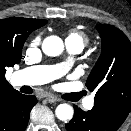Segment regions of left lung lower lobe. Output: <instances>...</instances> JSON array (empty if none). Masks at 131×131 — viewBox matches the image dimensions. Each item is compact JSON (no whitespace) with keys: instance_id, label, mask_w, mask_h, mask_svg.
<instances>
[{"instance_id":"0a47b994","label":"left lung lower lobe","mask_w":131,"mask_h":131,"mask_svg":"<svg viewBox=\"0 0 131 131\" xmlns=\"http://www.w3.org/2000/svg\"><path fill=\"white\" fill-rule=\"evenodd\" d=\"M67 131H116L119 126L96 108L84 112L74 105V116L65 125Z\"/></svg>"}]
</instances>
